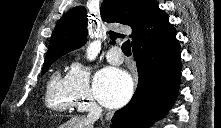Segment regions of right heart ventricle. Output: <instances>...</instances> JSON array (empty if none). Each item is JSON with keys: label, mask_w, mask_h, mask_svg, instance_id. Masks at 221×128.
Returning a JSON list of instances; mask_svg holds the SVG:
<instances>
[{"label": "right heart ventricle", "mask_w": 221, "mask_h": 128, "mask_svg": "<svg viewBox=\"0 0 221 128\" xmlns=\"http://www.w3.org/2000/svg\"><path fill=\"white\" fill-rule=\"evenodd\" d=\"M46 106L57 113L71 112L75 108V98L70 89L68 78L55 71L48 82Z\"/></svg>", "instance_id": "obj_1"}]
</instances>
